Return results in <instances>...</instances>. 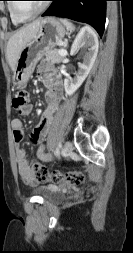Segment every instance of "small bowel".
Segmentation results:
<instances>
[{"label": "small bowel", "mask_w": 133, "mask_h": 253, "mask_svg": "<svg viewBox=\"0 0 133 253\" xmlns=\"http://www.w3.org/2000/svg\"><path fill=\"white\" fill-rule=\"evenodd\" d=\"M42 81L46 86L45 101L47 108L42 114L41 120L38 125L33 129L30 140L32 143L39 144L37 150V157L45 162H53L55 157L52 153L46 152V146L43 144L49 129L53 122L54 114L60 106L63 95L62 83L59 75L53 71L52 67L48 64L41 65L38 68ZM33 110L31 104H27L20 112L22 116H29ZM13 130V138L15 142V155L17 160L18 172L25 184L35 185L38 183L33 168L29 161L26 159V152L21 146L24 137L23 123L20 119L15 118L11 121Z\"/></svg>", "instance_id": "small-bowel-1"}]
</instances>
